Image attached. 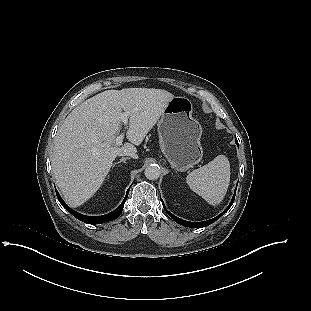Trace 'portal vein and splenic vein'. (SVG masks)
Here are the masks:
<instances>
[{"label": "portal vein and splenic vein", "instance_id": "obj_1", "mask_svg": "<svg viewBox=\"0 0 311 311\" xmlns=\"http://www.w3.org/2000/svg\"><path fill=\"white\" fill-rule=\"evenodd\" d=\"M128 116H129V112H124L121 115V120L124 123V125H127L128 123ZM124 133H121L119 136L116 137L115 142L117 145H121L124 139Z\"/></svg>", "mask_w": 311, "mask_h": 311}]
</instances>
